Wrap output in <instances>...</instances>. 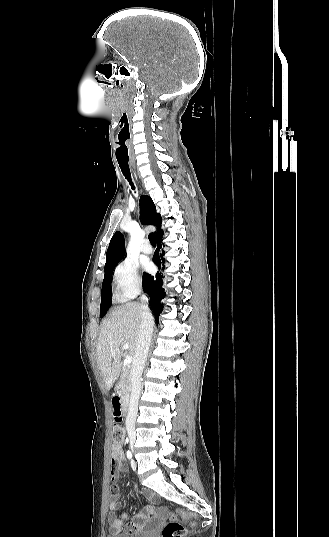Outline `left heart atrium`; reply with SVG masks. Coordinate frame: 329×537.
Segmentation results:
<instances>
[{
  "label": "left heart atrium",
  "mask_w": 329,
  "mask_h": 537,
  "mask_svg": "<svg viewBox=\"0 0 329 537\" xmlns=\"http://www.w3.org/2000/svg\"><path fill=\"white\" fill-rule=\"evenodd\" d=\"M143 265H144L145 268H149V263L147 261H144Z\"/></svg>",
  "instance_id": "39dd6f15"
}]
</instances>
